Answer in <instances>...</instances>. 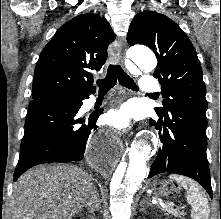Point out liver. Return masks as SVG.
Masks as SVG:
<instances>
[{
	"instance_id": "6515ba94",
	"label": "liver",
	"mask_w": 221,
	"mask_h": 219,
	"mask_svg": "<svg viewBox=\"0 0 221 219\" xmlns=\"http://www.w3.org/2000/svg\"><path fill=\"white\" fill-rule=\"evenodd\" d=\"M94 190L92 177L78 166L34 167L14 184L9 219H72Z\"/></svg>"
}]
</instances>
